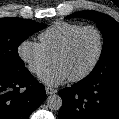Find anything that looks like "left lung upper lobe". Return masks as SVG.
I'll list each match as a JSON object with an SVG mask.
<instances>
[{"mask_svg": "<svg viewBox=\"0 0 119 119\" xmlns=\"http://www.w3.org/2000/svg\"><path fill=\"white\" fill-rule=\"evenodd\" d=\"M82 17L93 20L101 30L104 44L98 63L89 76H108L119 72V24L110 16L97 11H80L66 18Z\"/></svg>", "mask_w": 119, "mask_h": 119, "instance_id": "5c2ea615", "label": "left lung upper lobe"}]
</instances>
